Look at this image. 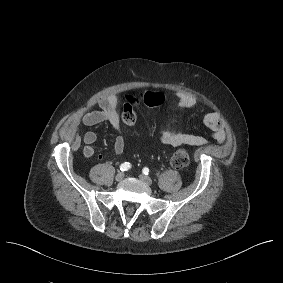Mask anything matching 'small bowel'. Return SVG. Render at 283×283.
<instances>
[{"instance_id":"1","label":"small bowel","mask_w":283,"mask_h":283,"mask_svg":"<svg viewBox=\"0 0 283 283\" xmlns=\"http://www.w3.org/2000/svg\"><path fill=\"white\" fill-rule=\"evenodd\" d=\"M177 105L180 109H191L196 105V98L183 91L176 92ZM98 110L87 111L80 116H75L70 119L66 126L65 131L72 137L75 136L78 126L82 123L86 126H93L103 122H109L115 130V138L113 144V151L115 154H121L125 148V139L123 130L120 123V116L117 110L118 102L115 96L103 97L98 101ZM204 125L211 131V136L218 143H223L226 138V123L219 112H209L203 117ZM163 144L170 146H200L207 143V139L203 136L186 133L183 131L166 130L159 136ZM97 140V135L92 132H86L81 141L84 144L83 154L85 157L90 158L95 154L93 147ZM77 141L78 144L81 143ZM99 158H102L100 155Z\"/></svg>"}]
</instances>
